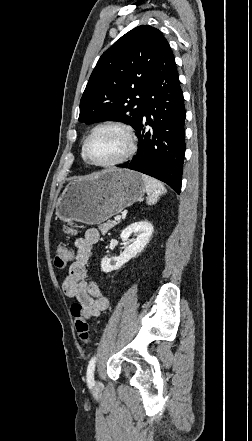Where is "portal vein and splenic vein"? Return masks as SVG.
I'll return each mask as SVG.
<instances>
[{
    "mask_svg": "<svg viewBox=\"0 0 252 441\" xmlns=\"http://www.w3.org/2000/svg\"><path fill=\"white\" fill-rule=\"evenodd\" d=\"M114 220H115V221H120V220H121V216H116V217L114 218Z\"/></svg>",
    "mask_w": 252,
    "mask_h": 441,
    "instance_id": "18ae733b",
    "label": "portal vein and splenic vein"
}]
</instances>
